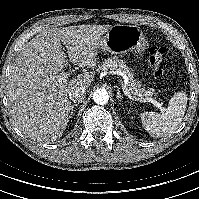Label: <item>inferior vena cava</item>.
Masks as SVG:
<instances>
[{
	"instance_id": "obj_1",
	"label": "inferior vena cava",
	"mask_w": 199,
	"mask_h": 199,
	"mask_svg": "<svg viewBox=\"0 0 199 199\" xmlns=\"http://www.w3.org/2000/svg\"><path fill=\"white\" fill-rule=\"evenodd\" d=\"M85 97H86V87L82 84L72 87V89L69 92V98L74 102L82 101Z\"/></svg>"
}]
</instances>
